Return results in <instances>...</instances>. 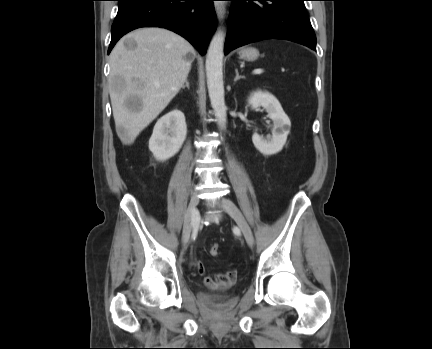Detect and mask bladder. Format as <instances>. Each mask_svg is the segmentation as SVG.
<instances>
[{
    "instance_id": "bladder-1",
    "label": "bladder",
    "mask_w": 432,
    "mask_h": 349,
    "mask_svg": "<svg viewBox=\"0 0 432 349\" xmlns=\"http://www.w3.org/2000/svg\"><path fill=\"white\" fill-rule=\"evenodd\" d=\"M207 298L217 300V301H224L226 296L224 294H212L207 296Z\"/></svg>"
}]
</instances>
